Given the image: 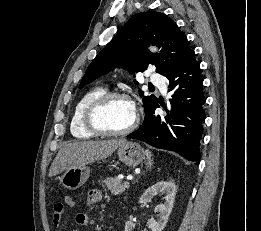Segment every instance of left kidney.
<instances>
[{
	"instance_id": "obj_1",
	"label": "left kidney",
	"mask_w": 261,
	"mask_h": 231,
	"mask_svg": "<svg viewBox=\"0 0 261 231\" xmlns=\"http://www.w3.org/2000/svg\"><path fill=\"white\" fill-rule=\"evenodd\" d=\"M176 190V186L173 182L160 181L149 187L140 197L139 203H149L157 193L165 194V202L158 204L155 207V212L159 213V219L155 220L151 218L147 221L151 231H162L165 228L173 208ZM134 227L135 225L132 221H127L125 224V231H132Z\"/></svg>"
}]
</instances>
